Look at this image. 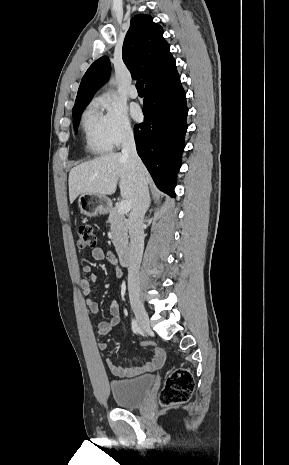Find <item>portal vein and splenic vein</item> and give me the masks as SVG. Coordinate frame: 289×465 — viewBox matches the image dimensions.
<instances>
[{"mask_svg":"<svg viewBox=\"0 0 289 465\" xmlns=\"http://www.w3.org/2000/svg\"><path fill=\"white\" fill-rule=\"evenodd\" d=\"M131 209V203L128 200H122L118 205L117 211L119 214L124 215Z\"/></svg>","mask_w":289,"mask_h":465,"instance_id":"obj_1","label":"portal vein and splenic vein"}]
</instances>
